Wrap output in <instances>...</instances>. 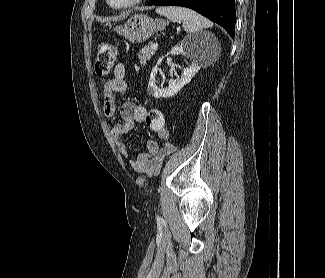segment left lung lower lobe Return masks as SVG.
Returning a JSON list of instances; mask_svg holds the SVG:
<instances>
[{
	"instance_id": "1",
	"label": "left lung lower lobe",
	"mask_w": 325,
	"mask_h": 278,
	"mask_svg": "<svg viewBox=\"0 0 325 278\" xmlns=\"http://www.w3.org/2000/svg\"><path fill=\"white\" fill-rule=\"evenodd\" d=\"M148 5L191 8L224 27L232 38L235 36V0H150Z\"/></svg>"
}]
</instances>
